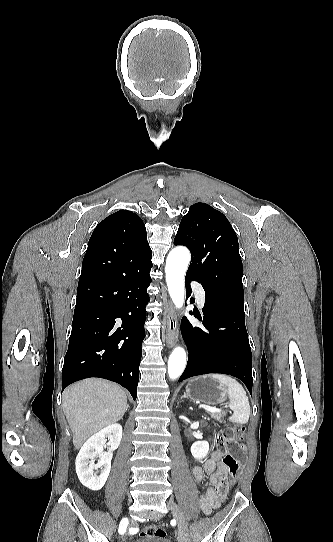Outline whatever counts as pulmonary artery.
<instances>
[{
	"mask_svg": "<svg viewBox=\"0 0 333 542\" xmlns=\"http://www.w3.org/2000/svg\"><path fill=\"white\" fill-rule=\"evenodd\" d=\"M193 293L195 296H197V303L198 305L202 308L203 307V304H204V298L202 297L203 293H204V290L202 287H200V284L199 283H194L193 284Z\"/></svg>",
	"mask_w": 333,
	"mask_h": 542,
	"instance_id": "obj_1",
	"label": "pulmonary artery"
}]
</instances>
